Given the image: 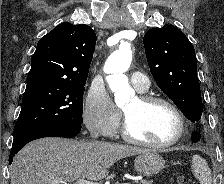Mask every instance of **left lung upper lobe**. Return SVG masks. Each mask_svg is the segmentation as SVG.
I'll return each mask as SVG.
<instances>
[{
    "label": "left lung upper lobe",
    "instance_id": "5c2ea615",
    "mask_svg": "<svg viewBox=\"0 0 224 184\" xmlns=\"http://www.w3.org/2000/svg\"><path fill=\"white\" fill-rule=\"evenodd\" d=\"M143 42L150 71L159 88L186 118L198 122L203 107L193 45L172 25L150 29Z\"/></svg>",
    "mask_w": 224,
    "mask_h": 184
}]
</instances>
